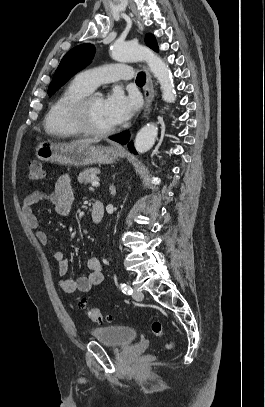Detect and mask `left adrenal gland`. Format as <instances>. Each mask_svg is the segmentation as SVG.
I'll return each instance as SVG.
<instances>
[{
	"label": "left adrenal gland",
	"instance_id": "a2214340",
	"mask_svg": "<svg viewBox=\"0 0 265 407\" xmlns=\"http://www.w3.org/2000/svg\"><path fill=\"white\" fill-rule=\"evenodd\" d=\"M110 191H111L112 196H114L116 194V189H115L114 185L110 186Z\"/></svg>",
	"mask_w": 265,
	"mask_h": 407
}]
</instances>
